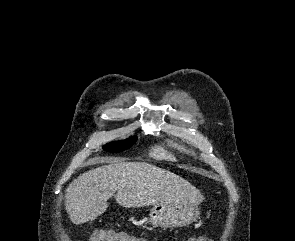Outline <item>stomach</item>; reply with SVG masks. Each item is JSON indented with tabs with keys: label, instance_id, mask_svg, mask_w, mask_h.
<instances>
[{
	"label": "stomach",
	"instance_id": "obj_1",
	"mask_svg": "<svg viewBox=\"0 0 295 241\" xmlns=\"http://www.w3.org/2000/svg\"><path fill=\"white\" fill-rule=\"evenodd\" d=\"M199 216L197 205H153L148 222L154 227H183L195 222Z\"/></svg>",
	"mask_w": 295,
	"mask_h": 241
}]
</instances>
